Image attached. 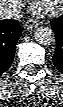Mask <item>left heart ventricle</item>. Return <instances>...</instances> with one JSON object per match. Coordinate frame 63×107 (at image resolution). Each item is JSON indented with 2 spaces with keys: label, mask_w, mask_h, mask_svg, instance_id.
Returning <instances> with one entry per match:
<instances>
[{
  "label": "left heart ventricle",
  "mask_w": 63,
  "mask_h": 107,
  "mask_svg": "<svg viewBox=\"0 0 63 107\" xmlns=\"http://www.w3.org/2000/svg\"><path fill=\"white\" fill-rule=\"evenodd\" d=\"M45 1H46L45 2V6L46 7H52V6L57 5L60 0H53V1H51V0H45Z\"/></svg>",
  "instance_id": "b2bd125f"
}]
</instances>
